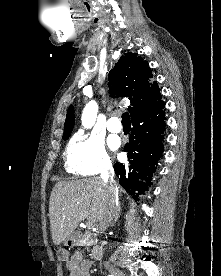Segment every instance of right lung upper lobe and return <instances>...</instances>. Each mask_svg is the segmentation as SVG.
Here are the masks:
<instances>
[{
  "label": "right lung upper lobe",
  "instance_id": "1",
  "mask_svg": "<svg viewBox=\"0 0 221 276\" xmlns=\"http://www.w3.org/2000/svg\"><path fill=\"white\" fill-rule=\"evenodd\" d=\"M152 71L148 63L137 54L126 53L108 75L110 96L128 97L131 102L128 110L131 118L153 108L161 100L158 85L151 82ZM73 106L70 105L64 128V139H68L75 123Z\"/></svg>",
  "mask_w": 221,
  "mask_h": 276
}]
</instances>
